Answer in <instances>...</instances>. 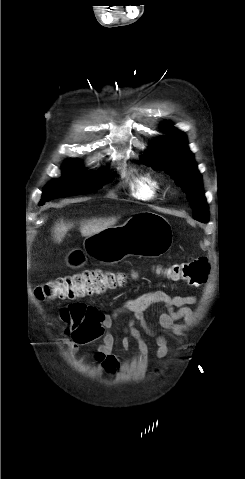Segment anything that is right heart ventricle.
I'll return each mask as SVG.
<instances>
[{
  "mask_svg": "<svg viewBox=\"0 0 245 479\" xmlns=\"http://www.w3.org/2000/svg\"><path fill=\"white\" fill-rule=\"evenodd\" d=\"M161 189L160 181L153 176H140L134 180L132 190L136 197L142 200L154 199Z\"/></svg>",
  "mask_w": 245,
  "mask_h": 479,
  "instance_id": "right-heart-ventricle-1",
  "label": "right heart ventricle"
}]
</instances>
